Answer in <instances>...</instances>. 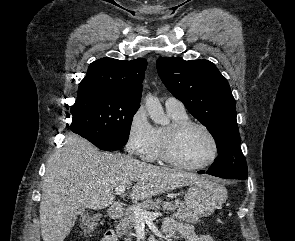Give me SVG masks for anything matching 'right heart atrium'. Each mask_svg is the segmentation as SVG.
Returning <instances> with one entry per match:
<instances>
[{
	"label": "right heart atrium",
	"instance_id": "right-heart-atrium-1",
	"mask_svg": "<svg viewBox=\"0 0 295 241\" xmlns=\"http://www.w3.org/2000/svg\"><path fill=\"white\" fill-rule=\"evenodd\" d=\"M155 128L150 123L145 110L140 107L131 115L128 123L127 150L134 155L145 157L154 142Z\"/></svg>",
	"mask_w": 295,
	"mask_h": 241
}]
</instances>
